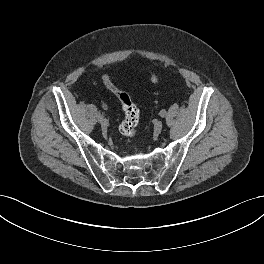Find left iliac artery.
<instances>
[{"instance_id":"left-iliac-artery-1","label":"left iliac artery","mask_w":264,"mask_h":264,"mask_svg":"<svg viewBox=\"0 0 264 264\" xmlns=\"http://www.w3.org/2000/svg\"><path fill=\"white\" fill-rule=\"evenodd\" d=\"M159 115L161 117H165L166 116V111L165 110H161L160 113H159Z\"/></svg>"}]
</instances>
